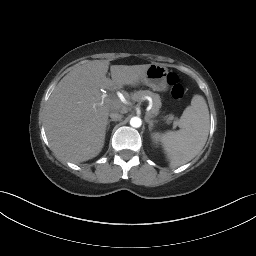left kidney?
<instances>
[{
    "label": "left kidney",
    "mask_w": 256,
    "mask_h": 256,
    "mask_svg": "<svg viewBox=\"0 0 256 256\" xmlns=\"http://www.w3.org/2000/svg\"><path fill=\"white\" fill-rule=\"evenodd\" d=\"M160 138H161V135H160L159 133H154V134L152 135V139H153V141H154L155 143H157V142L160 140Z\"/></svg>",
    "instance_id": "obj_1"
}]
</instances>
